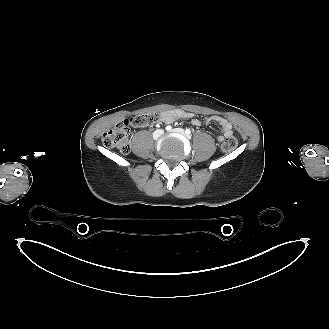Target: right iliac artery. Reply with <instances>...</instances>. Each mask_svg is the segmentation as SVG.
Here are the masks:
<instances>
[{
  "label": "right iliac artery",
  "instance_id": "right-iliac-artery-1",
  "mask_svg": "<svg viewBox=\"0 0 329 329\" xmlns=\"http://www.w3.org/2000/svg\"><path fill=\"white\" fill-rule=\"evenodd\" d=\"M171 129H172L171 126H167V127H166V130H168V131L171 130Z\"/></svg>",
  "mask_w": 329,
  "mask_h": 329
}]
</instances>
